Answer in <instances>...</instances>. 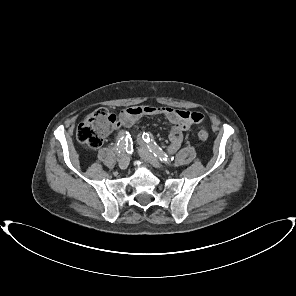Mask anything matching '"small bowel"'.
Here are the masks:
<instances>
[{
  "label": "small bowel",
  "instance_id": "1",
  "mask_svg": "<svg viewBox=\"0 0 296 296\" xmlns=\"http://www.w3.org/2000/svg\"><path fill=\"white\" fill-rule=\"evenodd\" d=\"M192 114L194 112L170 107L134 106L120 113L119 124L124 128H129L143 116H164L172 123L169 133V150L175 152L182 144L184 132L197 123L192 120Z\"/></svg>",
  "mask_w": 296,
  "mask_h": 296
}]
</instances>
